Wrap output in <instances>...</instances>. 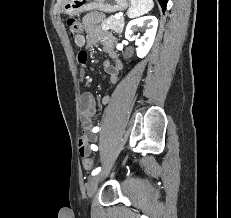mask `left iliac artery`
<instances>
[{
  "instance_id": "obj_1",
  "label": "left iliac artery",
  "mask_w": 231,
  "mask_h": 218,
  "mask_svg": "<svg viewBox=\"0 0 231 218\" xmlns=\"http://www.w3.org/2000/svg\"><path fill=\"white\" fill-rule=\"evenodd\" d=\"M99 131V127H94L93 129H92V132L93 133H96V132H98ZM91 149L93 150V151H97L98 150V147L95 145V144H91ZM100 170H101V168L100 167H97L96 169H94L93 171H92V175L94 176V175H97L99 172H100Z\"/></svg>"
}]
</instances>
